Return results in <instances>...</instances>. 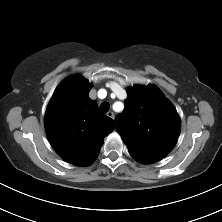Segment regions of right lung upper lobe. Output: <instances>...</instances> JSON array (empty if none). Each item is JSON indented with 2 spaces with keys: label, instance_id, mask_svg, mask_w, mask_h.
Instances as JSON below:
<instances>
[{
  "label": "right lung upper lobe",
  "instance_id": "1",
  "mask_svg": "<svg viewBox=\"0 0 222 222\" xmlns=\"http://www.w3.org/2000/svg\"><path fill=\"white\" fill-rule=\"evenodd\" d=\"M91 84L80 75L67 77L54 92L45 114V129L54 150L77 166L92 164L114 121L98 112L89 98Z\"/></svg>",
  "mask_w": 222,
  "mask_h": 222
}]
</instances>
